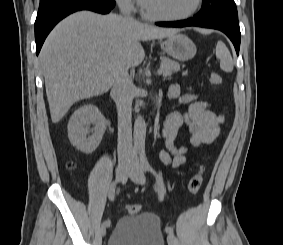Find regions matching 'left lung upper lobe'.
Returning <instances> with one entry per match:
<instances>
[{
    "label": "left lung upper lobe",
    "mask_w": 283,
    "mask_h": 245,
    "mask_svg": "<svg viewBox=\"0 0 283 245\" xmlns=\"http://www.w3.org/2000/svg\"><path fill=\"white\" fill-rule=\"evenodd\" d=\"M194 17L239 28L238 13L233 0H203L201 10Z\"/></svg>",
    "instance_id": "5c2ea615"
}]
</instances>
